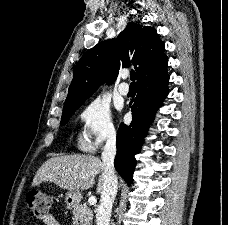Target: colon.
<instances>
[{
  "label": "colon",
  "mask_w": 228,
  "mask_h": 225,
  "mask_svg": "<svg viewBox=\"0 0 228 225\" xmlns=\"http://www.w3.org/2000/svg\"><path fill=\"white\" fill-rule=\"evenodd\" d=\"M26 202L34 215L41 219L47 214L51 207L49 195L38 190L30 191L26 195Z\"/></svg>",
  "instance_id": "5ec220e1"
}]
</instances>
